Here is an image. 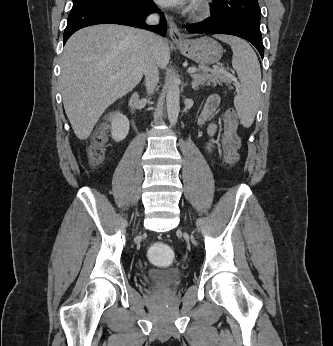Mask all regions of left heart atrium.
Returning a JSON list of instances; mask_svg holds the SVG:
<instances>
[{
    "label": "left heart atrium",
    "instance_id": "obj_1",
    "mask_svg": "<svg viewBox=\"0 0 333 346\" xmlns=\"http://www.w3.org/2000/svg\"><path fill=\"white\" fill-rule=\"evenodd\" d=\"M159 4L164 6H179L184 3L185 0H156Z\"/></svg>",
    "mask_w": 333,
    "mask_h": 346
}]
</instances>
